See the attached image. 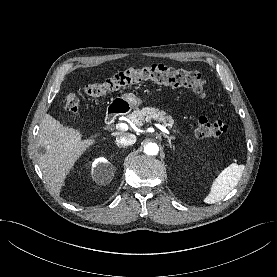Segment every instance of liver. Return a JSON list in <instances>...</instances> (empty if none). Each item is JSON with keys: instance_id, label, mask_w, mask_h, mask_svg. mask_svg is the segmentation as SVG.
<instances>
[{"instance_id": "1", "label": "liver", "mask_w": 277, "mask_h": 277, "mask_svg": "<svg viewBox=\"0 0 277 277\" xmlns=\"http://www.w3.org/2000/svg\"><path fill=\"white\" fill-rule=\"evenodd\" d=\"M122 134L112 133L113 136ZM95 142L96 137L83 140L79 129L64 126L50 114L43 117L38 134V146L43 147L45 153L38 155V164L45 182L54 193L60 192L76 161Z\"/></svg>"}]
</instances>
